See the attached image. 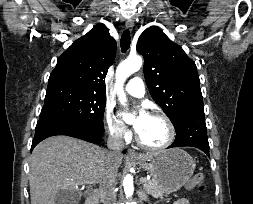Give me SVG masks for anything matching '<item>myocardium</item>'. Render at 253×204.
I'll list each match as a JSON object with an SVG mask.
<instances>
[{
  "instance_id": "1",
  "label": "myocardium",
  "mask_w": 253,
  "mask_h": 204,
  "mask_svg": "<svg viewBox=\"0 0 253 204\" xmlns=\"http://www.w3.org/2000/svg\"><path fill=\"white\" fill-rule=\"evenodd\" d=\"M149 116L151 117H155V118H160L161 120H163L168 128V138L167 140L162 143L161 145H149L146 144L138 135V133H136V142L137 144L142 147L143 149L149 150V151H160V150H164L166 148H168L169 146L172 145V143L175 140V136H176V130L174 127V124L172 123V121L170 120V118L160 112H153L151 113Z\"/></svg>"
}]
</instances>
